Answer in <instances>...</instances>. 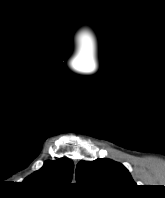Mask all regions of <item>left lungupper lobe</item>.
Returning <instances> with one entry per match:
<instances>
[{"mask_svg": "<svg viewBox=\"0 0 165 198\" xmlns=\"http://www.w3.org/2000/svg\"><path fill=\"white\" fill-rule=\"evenodd\" d=\"M76 181L107 195L126 194L136 184L122 164L106 158L80 161L76 166Z\"/></svg>", "mask_w": 165, "mask_h": 198, "instance_id": "obj_1", "label": "left lung upper lobe"}]
</instances>
